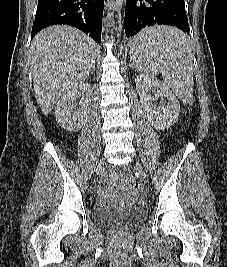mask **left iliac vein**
Instances as JSON below:
<instances>
[{
  "label": "left iliac vein",
  "mask_w": 227,
  "mask_h": 267,
  "mask_svg": "<svg viewBox=\"0 0 227 267\" xmlns=\"http://www.w3.org/2000/svg\"><path fill=\"white\" fill-rule=\"evenodd\" d=\"M137 169L140 172L141 176L144 178L145 177V172H144V169H143V167L141 166L140 163H137Z\"/></svg>",
  "instance_id": "4c4485c4"
}]
</instances>
